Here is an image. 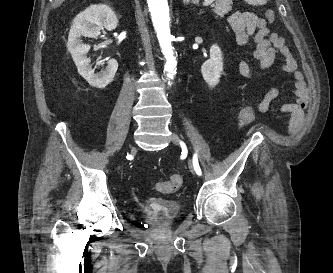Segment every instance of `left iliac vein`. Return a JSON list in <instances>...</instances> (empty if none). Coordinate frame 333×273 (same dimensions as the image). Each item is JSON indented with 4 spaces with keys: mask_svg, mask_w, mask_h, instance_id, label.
I'll list each match as a JSON object with an SVG mask.
<instances>
[{
    "mask_svg": "<svg viewBox=\"0 0 333 273\" xmlns=\"http://www.w3.org/2000/svg\"><path fill=\"white\" fill-rule=\"evenodd\" d=\"M170 138L174 144H177V145L180 144V138L175 132L171 133ZM188 166H189L190 171L192 173H194V166H193L191 159L188 160Z\"/></svg>",
    "mask_w": 333,
    "mask_h": 273,
    "instance_id": "left-iliac-vein-1",
    "label": "left iliac vein"
}]
</instances>
